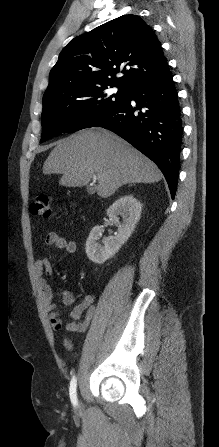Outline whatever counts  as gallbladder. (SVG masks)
I'll return each mask as SVG.
<instances>
[{"label": "gallbladder", "instance_id": "bac80fb5", "mask_svg": "<svg viewBox=\"0 0 219 447\" xmlns=\"http://www.w3.org/2000/svg\"><path fill=\"white\" fill-rule=\"evenodd\" d=\"M87 191H88L89 194H93L95 192V189L94 188H88Z\"/></svg>", "mask_w": 219, "mask_h": 447}]
</instances>
